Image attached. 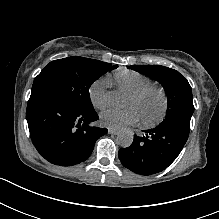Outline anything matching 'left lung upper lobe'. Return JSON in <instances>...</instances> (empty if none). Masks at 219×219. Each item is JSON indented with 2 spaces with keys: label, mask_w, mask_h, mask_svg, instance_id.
Instances as JSON below:
<instances>
[{
  "label": "left lung upper lobe",
  "mask_w": 219,
  "mask_h": 219,
  "mask_svg": "<svg viewBox=\"0 0 219 219\" xmlns=\"http://www.w3.org/2000/svg\"><path fill=\"white\" fill-rule=\"evenodd\" d=\"M128 68L158 81L163 86L168 101L166 117L160 124H178L190 128V119L194 112L192 89L183 75L159 65H132Z\"/></svg>",
  "instance_id": "1"
}]
</instances>
